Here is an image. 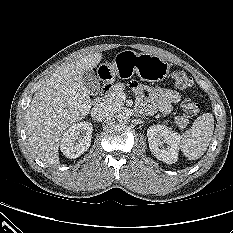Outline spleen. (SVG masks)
<instances>
[{
    "label": "spleen",
    "instance_id": "obj_1",
    "mask_svg": "<svg viewBox=\"0 0 233 233\" xmlns=\"http://www.w3.org/2000/svg\"><path fill=\"white\" fill-rule=\"evenodd\" d=\"M214 131V117L211 113H204L193 123L191 129L180 137L179 146L189 160L200 158L207 150Z\"/></svg>",
    "mask_w": 233,
    "mask_h": 233
}]
</instances>
